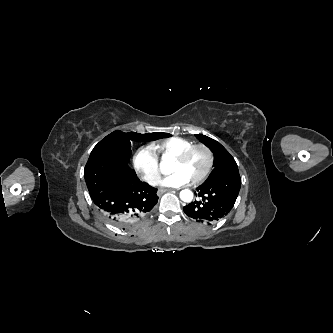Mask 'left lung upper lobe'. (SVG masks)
Segmentation results:
<instances>
[{
  "mask_svg": "<svg viewBox=\"0 0 333 333\" xmlns=\"http://www.w3.org/2000/svg\"><path fill=\"white\" fill-rule=\"evenodd\" d=\"M196 138L213 152L214 169L204 183H209L224 175L239 173L237 164L230 153L216 140L205 135H196Z\"/></svg>",
  "mask_w": 333,
  "mask_h": 333,
  "instance_id": "5c2ea615",
  "label": "left lung upper lobe"
}]
</instances>
